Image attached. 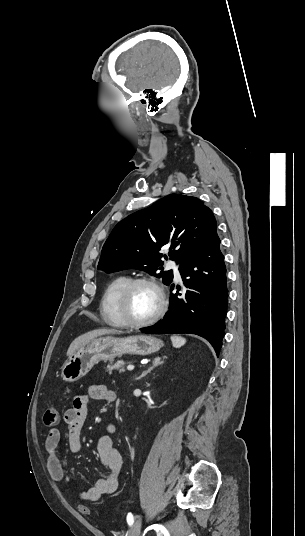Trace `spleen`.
Listing matches in <instances>:
<instances>
[{
	"mask_svg": "<svg viewBox=\"0 0 305 536\" xmlns=\"http://www.w3.org/2000/svg\"><path fill=\"white\" fill-rule=\"evenodd\" d=\"M171 342L173 344V348H181V346L186 344L185 338H181V336H171Z\"/></svg>",
	"mask_w": 305,
	"mask_h": 536,
	"instance_id": "3e777b00",
	"label": "spleen"
}]
</instances>
